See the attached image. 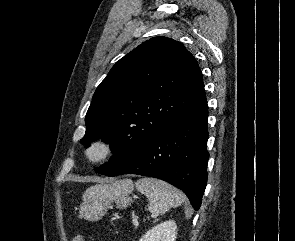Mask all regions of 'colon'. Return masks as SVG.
<instances>
[{"label": "colon", "instance_id": "colon-1", "mask_svg": "<svg viewBox=\"0 0 295 241\" xmlns=\"http://www.w3.org/2000/svg\"><path fill=\"white\" fill-rule=\"evenodd\" d=\"M72 241H84V239L77 236V237H74Z\"/></svg>", "mask_w": 295, "mask_h": 241}]
</instances>
